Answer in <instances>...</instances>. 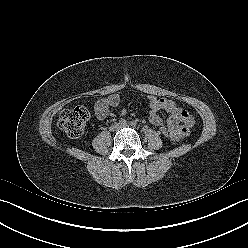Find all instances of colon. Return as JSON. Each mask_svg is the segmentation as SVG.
<instances>
[{"label":"colon","mask_w":248,"mask_h":248,"mask_svg":"<svg viewBox=\"0 0 248 248\" xmlns=\"http://www.w3.org/2000/svg\"><path fill=\"white\" fill-rule=\"evenodd\" d=\"M89 118V113L84 107L64 110L59 114L57 124L70 138H78L84 133V129ZM159 134L167 140H175L174 134L166 126L159 127Z\"/></svg>","instance_id":"1"}]
</instances>
